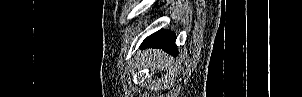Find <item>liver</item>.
<instances>
[{"label": "liver", "mask_w": 302, "mask_h": 97, "mask_svg": "<svg viewBox=\"0 0 302 97\" xmlns=\"http://www.w3.org/2000/svg\"><path fill=\"white\" fill-rule=\"evenodd\" d=\"M150 60L154 64L163 65L164 68L170 67L172 64V58L159 50H153V52L150 53Z\"/></svg>", "instance_id": "liver-1"}]
</instances>
